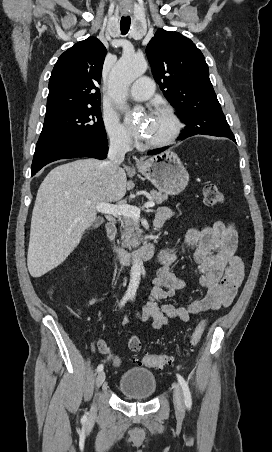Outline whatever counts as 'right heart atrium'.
Instances as JSON below:
<instances>
[{
    "instance_id": "d8ad5b80",
    "label": "right heart atrium",
    "mask_w": 272,
    "mask_h": 452,
    "mask_svg": "<svg viewBox=\"0 0 272 452\" xmlns=\"http://www.w3.org/2000/svg\"><path fill=\"white\" fill-rule=\"evenodd\" d=\"M103 125L111 144L120 148H128L131 146L132 139L128 130L116 117L112 115L103 116Z\"/></svg>"
}]
</instances>
